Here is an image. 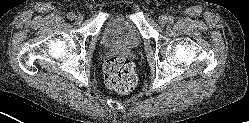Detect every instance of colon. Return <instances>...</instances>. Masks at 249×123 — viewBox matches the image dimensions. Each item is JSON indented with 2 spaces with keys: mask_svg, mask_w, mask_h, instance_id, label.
<instances>
[{
  "mask_svg": "<svg viewBox=\"0 0 249 123\" xmlns=\"http://www.w3.org/2000/svg\"><path fill=\"white\" fill-rule=\"evenodd\" d=\"M106 85L118 92L129 93L137 84V75L133 63L123 56H112L104 64Z\"/></svg>",
  "mask_w": 249,
  "mask_h": 123,
  "instance_id": "colon-1",
  "label": "colon"
}]
</instances>
